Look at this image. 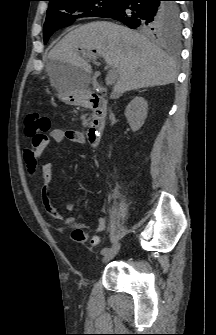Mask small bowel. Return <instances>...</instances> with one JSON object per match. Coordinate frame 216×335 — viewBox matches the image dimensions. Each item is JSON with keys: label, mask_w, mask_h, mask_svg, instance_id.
Instances as JSON below:
<instances>
[{"label": "small bowel", "mask_w": 216, "mask_h": 335, "mask_svg": "<svg viewBox=\"0 0 216 335\" xmlns=\"http://www.w3.org/2000/svg\"><path fill=\"white\" fill-rule=\"evenodd\" d=\"M50 138L56 143H64L65 141L77 143V144H84L85 143V136L81 131L78 130H70V129H52L50 131L49 136H45L38 144L32 145L31 147L25 150L24 160L26 164V168L30 175H34L36 172L37 167V160L49 144ZM54 175V167L53 163L50 161L45 162L42 165V177H43V185L41 187V197L42 202L47 210V212L57 221H62L63 216L58 211V209L54 206L51 201V198L48 196L49 193V186L53 179ZM67 208L69 210L73 209V203L68 200ZM67 223L70 225L72 229H83L85 228V224L76 222L73 218H68ZM106 228V221L104 218H99L97 220V225L95 228V236L93 239L95 241L98 240V234L103 232ZM95 244V243H94Z\"/></svg>", "instance_id": "small-bowel-1"}]
</instances>
